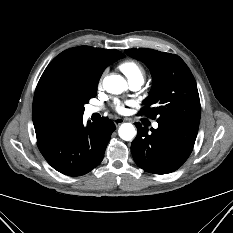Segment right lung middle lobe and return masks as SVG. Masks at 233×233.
Wrapping results in <instances>:
<instances>
[{
	"mask_svg": "<svg viewBox=\"0 0 233 233\" xmlns=\"http://www.w3.org/2000/svg\"><path fill=\"white\" fill-rule=\"evenodd\" d=\"M97 85H80L73 92V99L81 115H83L84 104L89 102L90 98L96 96Z\"/></svg>",
	"mask_w": 233,
	"mask_h": 233,
	"instance_id": "right-lung-middle-lobe-1",
	"label": "right lung middle lobe"
}]
</instances>
